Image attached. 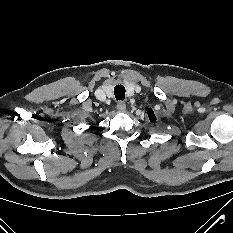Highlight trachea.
Here are the masks:
<instances>
[{
    "label": "trachea",
    "instance_id": "1",
    "mask_svg": "<svg viewBox=\"0 0 233 233\" xmlns=\"http://www.w3.org/2000/svg\"><path fill=\"white\" fill-rule=\"evenodd\" d=\"M125 87L123 85H116L114 88V95L116 100L123 101L125 99Z\"/></svg>",
    "mask_w": 233,
    "mask_h": 233
}]
</instances>
